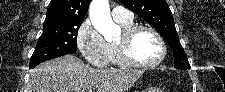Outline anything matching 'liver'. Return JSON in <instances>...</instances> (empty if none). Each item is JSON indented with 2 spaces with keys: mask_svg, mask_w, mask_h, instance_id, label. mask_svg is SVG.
Instances as JSON below:
<instances>
[{
  "mask_svg": "<svg viewBox=\"0 0 225 92\" xmlns=\"http://www.w3.org/2000/svg\"><path fill=\"white\" fill-rule=\"evenodd\" d=\"M136 69H93L74 55L40 64L30 71L27 92H126L142 76Z\"/></svg>",
  "mask_w": 225,
  "mask_h": 92,
  "instance_id": "6515ba94",
  "label": "liver"
}]
</instances>
